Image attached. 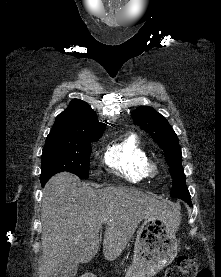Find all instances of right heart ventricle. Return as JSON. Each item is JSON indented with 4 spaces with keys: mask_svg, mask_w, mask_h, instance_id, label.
Masks as SVG:
<instances>
[{
    "mask_svg": "<svg viewBox=\"0 0 221 277\" xmlns=\"http://www.w3.org/2000/svg\"><path fill=\"white\" fill-rule=\"evenodd\" d=\"M104 160L116 174L132 182L148 177L146 166L150 157L135 134L126 135L113 143L106 151Z\"/></svg>",
    "mask_w": 221,
    "mask_h": 277,
    "instance_id": "1",
    "label": "right heart ventricle"
}]
</instances>
